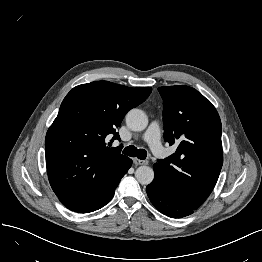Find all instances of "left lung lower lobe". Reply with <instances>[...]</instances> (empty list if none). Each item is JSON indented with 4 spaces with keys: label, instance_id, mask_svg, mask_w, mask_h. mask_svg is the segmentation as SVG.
Returning a JSON list of instances; mask_svg holds the SVG:
<instances>
[{
    "label": "left lung lower lobe",
    "instance_id": "obj_1",
    "mask_svg": "<svg viewBox=\"0 0 262 262\" xmlns=\"http://www.w3.org/2000/svg\"><path fill=\"white\" fill-rule=\"evenodd\" d=\"M154 172L155 178L146 188L147 195L154 207L172 218H182L191 215L195 210L184 205L169 192L160 180L156 169H154Z\"/></svg>",
    "mask_w": 262,
    "mask_h": 262
}]
</instances>
